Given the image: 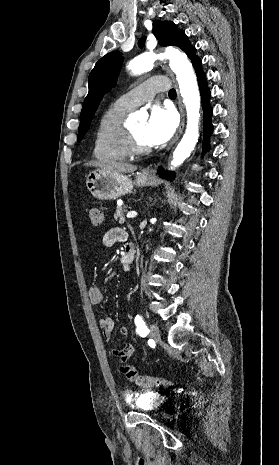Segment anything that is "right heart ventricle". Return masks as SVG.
<instances>
[{"mask_svg":"<svg viewBox=\"0 0 279 465\" xmlns=\"http://www.w3.org/2000/svg\"><path fill=\"white\" fill-rule=\"evenodd\" d=\"M131 109L117 102L102 115L94 142L93 155L102 161H121L129 155L124 146L125 118Z\"/></svg>","mask_w":279,"mask_h":465,"instance_id":"right-heart-ventricle-1","label":"right heart ventricle"}]
</instances>
